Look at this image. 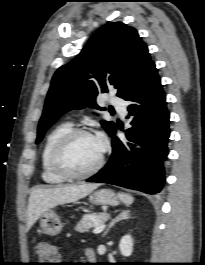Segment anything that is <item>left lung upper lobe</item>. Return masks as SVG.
<instances>
[{"mask_svg":"<svg viewBox=\"0 0 205 265\" xmlns=\"http://www.w3.org/2000/svg\"><path fill=\"white\" fill-rule=\"evenodd\" d=\"M155 65L137 30L122 22L102 26L70 63L54 74L38 125L39 143L46 130L65 112L85 106L102 109L95 103L98 93L117 89L125 99ZM103 110V109H102ZM111 135L116 125L101 121Z\"/></svg>","mask_w":205,"mask_h":265,"instance_id":"obj_1","label":"left lung upper lobe"}]
</instances>
